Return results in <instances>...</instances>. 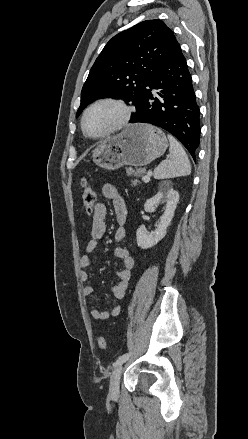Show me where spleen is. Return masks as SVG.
<instances>
[{
  "mask_svg": "<svg viewBox=\"0 0 248 439\" xmlns=\"http://www.w3.org/2000/svg\"><path fill=\"white\" fill-rule=\"evenodd\" d=\"M168 139L170 158L155 168L154 178L156 179L187 176L191 173L190 161L182 145L172 135H168Z\"/></svg>",
  "mask_w": 248,
  "mask_h": 439,
  "instance_id": "spleen-1",
  "label": "spleen"
}]
</instances>
